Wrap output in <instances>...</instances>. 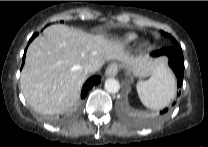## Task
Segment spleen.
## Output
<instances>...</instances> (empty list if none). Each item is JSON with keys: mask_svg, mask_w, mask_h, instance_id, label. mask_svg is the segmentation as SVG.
Listing matches in <instances>:
<instances>
[{"mask_svg": "<svg viewBox=\"0 0 208 147\" xmlns=\"http://www.w3.org/2000/svg\"><path fill=\"white\" fill-rule=\"evenodd\" d=\"M137 93L141 102L151 109H162L174 98L176 81L172 72L162 67L148 80L137 83Z\"/></svg>", "mask_w": 208, "mask_h": 147, "instance_id": "obj_1", "label": "spleen"}]
</instances>
